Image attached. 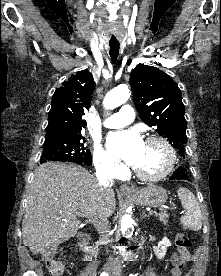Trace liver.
Wrapping results in <instances>:
<instances>
[{
    "label": "liver",
    "instance_id": "obj_1",
    "mask_svg": "<svg viewBox=\"0 0 221 276\" xmlns=\"http://www.w3.org/2000/svg\"><path fill=\"white\" fill-rule=\"evenodd\" d=\"M115 193L103 187L85 168L71 163H46L34 172L22 222L23 242L33 254L56 248L74 237L94 213L111 216Z\"/></svg>",
    "mask_w": 221,
    "mask_h": 276
}]
</instances>
